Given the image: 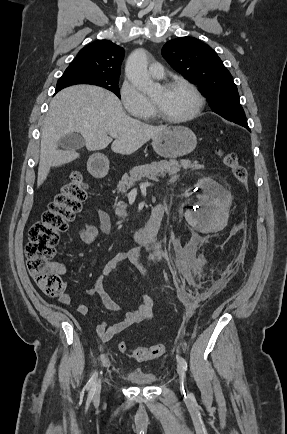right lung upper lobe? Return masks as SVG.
Listing matches in <instances>:
<instances>
[{
  "mask_svg": "<svg viewBox=\"0 0 287 434\" xmlns=\"http://www.w3.org/2000/svg\"><path fill=\"white\" fill-rule=\"evenodd\" d=\"M124 49L109 40H98L82 48L67 67L90 76L119 78ZM63 88H56V93Z\"/></svg>",
  "mask_w": 287,
  "mask_h": 434,
  "instance_id": "1",
  "label": "right lung upper lobe"
}]
</instances>
